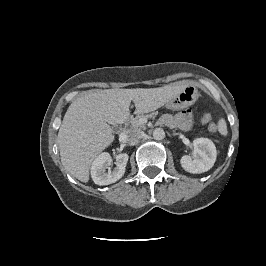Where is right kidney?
I'll use <instances>...</instances> for the list:
<instances>
[{
    "label": "right kidney",
    "mask_w": 266,
    "mask_h": 266,
    "mask_svg": "<svg viewBox=\"0 0 266 266\" xmlns=\"http://www.w3.org/2000/svg\"><path fill=\"white\" fill-rule=\"evenodd\" d=\"M128 154L123 153L116 156V167L111 170V156L109 153H101L91 167V177L97 185H109L115 183L125 173L128 161Z\"/></svg>",
    "instance_id": "right-kidney-1"
}]
</instances>
